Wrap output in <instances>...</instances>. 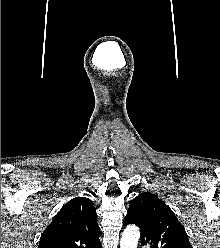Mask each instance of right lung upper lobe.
<instances>
[{
    "mask_svg": "<svg viewBox=\"0 0 220 248\" xmlns=\"http://www.w3.org/2000/svg\"><path fill=\"white\" fill-rule=\"evenodd\" d=\"M93 202L76 197L65 204L40 237L38 248H101Z\"/></svg>",
    "mask_w": 220,
    "mask_h": 248,
    "instance_id": "cb5924a9",
    "label": "right lung upper lobe"
}]
</instances>
